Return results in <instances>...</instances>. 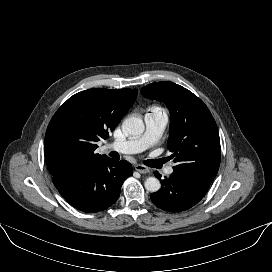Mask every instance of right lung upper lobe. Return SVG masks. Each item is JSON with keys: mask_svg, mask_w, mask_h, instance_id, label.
<instances>
[{"mask_svg": "<svg viewBox=\"0 0 272 272\" xmlns=\"http://www.w3.org/2000/svg\"><path fill=\"white\" fill-rule=\"evenodd\" d=\"M136 89H89L70 97L52 117L44 154L52 176L88 167L106 155L95 153L133 105Z\"/></svg>", "mask_w": 272, "mask_h": 272, "instance_id": "1", "label": "right lung upper lobe"}]
</instances>
